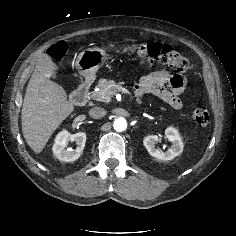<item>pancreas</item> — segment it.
Here are the masks:
<instances>
[{
    "instance_id": "obj_1",
    "label": "pancreas",
    "mask_w": 236,
    "mask_h": 236,
    "mask_svg": "<svg viewBox=\"0 0 236 236\" xmlns=\"http://www.w3.org/2000/svg\"><path fill=\"white\" fill-rule=\"evenodd\" d=\"M116 82L111 79H100L97 84L98 91L91 92L90 98L95 101L107 102L116 93Z\"/></svg>"
}]
</instances>
